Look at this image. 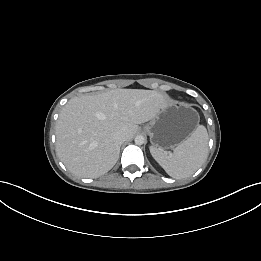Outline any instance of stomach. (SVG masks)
Wrapping results in <instances>:
<instances>
[{"label": "stomach", "mask_w": 261, "mask_h": 261, "mask_svg": "<svg viewBox=\"0 0 261 261\" xmlns=\"http://www.w3.org/2000/svg\"><path fill=\"white\" fill-rule=\"evenodd\" d=\"M199 114L192 107L169 102L144 127L155 148L171 149L185 141L199 125Z\"/></svg>", "instance_id": "0dacf381"}]
</instances>
